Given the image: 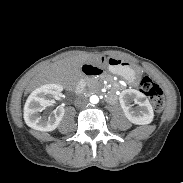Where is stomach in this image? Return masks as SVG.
I'll list each match as a JSON object with an SVG mask.
<instances>
[{"mask_svg": "<svg viewBox=\"0 0 183 183\" xmlns=\"http://www.w3.org/2000/svg\"><path fill=\"white\" fill-rule=\"evenodd\" d=\"M105 63L112 74L121 76L131 84L139 83L142 76L140 67L115 57L108 58Z\"/></svg>", "mask_w": 183, "mask_h": 183, "instance_id": "stomach-1", "label": "stomach"}]
</instances>
